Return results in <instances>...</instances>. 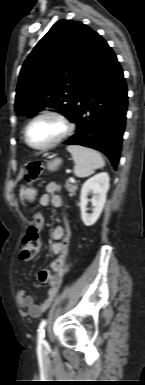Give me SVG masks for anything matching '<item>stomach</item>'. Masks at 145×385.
Segmentation results:
<instances>
[{
    "label": "stomach",
    "mask_w": 145,
    "mask_h": 385,
    "mask_svg": "<svg viewBox=\"0 0 145 385\" xmlns=\"http://www.w3.org/2000/svg\"><path fill=\"white\" fill-rule=\"evenodd\" d=\"M62 160L60 158H54L51 161H48L47 168L50 171L57 170V168L61 165ZM37 195V190L31 186H21L20 189V200L24 203L25 201H34Z\"/></svg>",
    "instance_id": "0dacf381"
}]
</instances>
